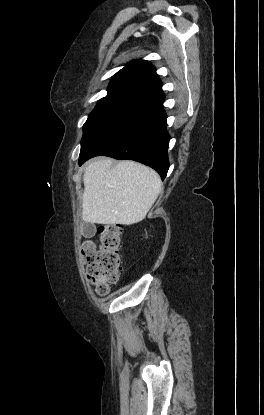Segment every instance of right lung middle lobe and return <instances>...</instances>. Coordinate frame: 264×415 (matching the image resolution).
<instances>
[{
  "label": "right lung middle lobe",
  "mask_w": 264,
  "mask_h": 415,
  "mask_svg": "<svg viewBox=\"0 0 264 415\" xmlns=\"http://www.w3.org/2000/svg\"><path fill=\"white\" fill-rule=\"evenodd\" d=\"M142 101L123 95H107L100 99L83 126L81 150L87 148L120 117Z\"/></svg>",
  "instance_id": "dd1d6c3e"
}]
</instances>
